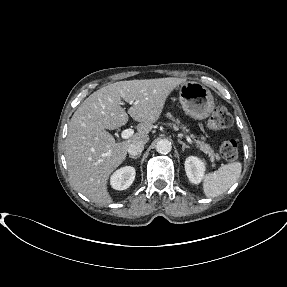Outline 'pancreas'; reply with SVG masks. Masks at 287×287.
Listing matches in <instances>:
<instances>
[{"mask_svg": "<svg viewBox=\"0 0 287 287\" xmlns=\"http://www.w3.org/2000/svg\"><path fill=\"white\" fill-rule=\"evenodd\" d=\"M166 117L169 118V119H171V120H174V117H173V115H172L171 113H167V114H166ZM176 123H177V124H180V121L177 119V120H176ZM181 128L183 129V131H184L185 133L188 132V129H187L185 126L181 125ZM191 137H192L193 139L195 138L194 135H191ZM195 141H196L197 146L200 148V150L203 151L205 154L208 155V157L210 158L211 162H214L215 158H216V159H219V158H220L218 154H215V153H214V150L210 147L209 144H206V143H204L203 141H200V140H195Z\"/></svg>", "mask_w": 287, "mask_h": 287, "instance_id": "obj_1", "label": "pancreas"}]
</instances>
